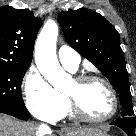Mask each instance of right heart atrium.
<instances>
[{
    "mask_svg": "<svg viewBox=\"0 0 136 136\" xmlns=\"http://www.w3.org/2000/svg\"><path fill=\"white\" fill-rule=\"evenodd\" d=\"M24 102L37 118L55 121L60 116L64 99L34 68L29 69L22 82Z\"/></svg>",
    "mask_w": 136,
    "mask_h": 136,
    "instance_id": "1",
    "label": "right heart atrium"
}]
</instances>
